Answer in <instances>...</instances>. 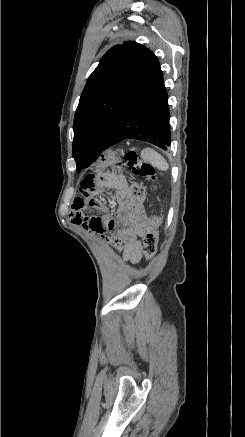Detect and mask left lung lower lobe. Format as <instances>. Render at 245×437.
<instances>
[{"instance_id":"obj_1","label":"left lung lower lobe","mask_w":245,"mask_h":437,"mask_svg":"<svg viewBox=\"0 0 245 437\" xmlns=\"http://www.w3.org/2000/svg\"><path fill=\"white\" fill-rule=\"evenodd\" d=\"M128 138L164 150L170 146L168 95L158 59L119 114L103 151Z\"/></svg>"}]
</instances>
